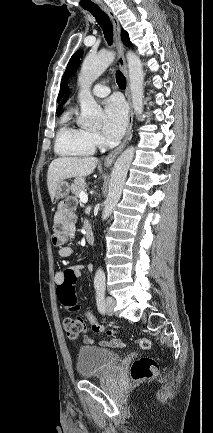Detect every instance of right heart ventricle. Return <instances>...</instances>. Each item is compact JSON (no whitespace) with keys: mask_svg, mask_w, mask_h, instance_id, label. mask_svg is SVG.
<instances>
[{"mask_svg":"<svg viewBox=\"0 0 213 433\" xmlns=\"http://www.w3.org/2000/svg\"><path fill=\"white\" fill-rule=\"evenodd\" d=\"M95 147L92 133L73 123L71 113H66L56 136V152L62 156H88L94 153Z\"/></svg>","mask_w":213,"mask_h":433,"instance_id":"obj_1","label":"right heart ventricle"}]
</instances>
